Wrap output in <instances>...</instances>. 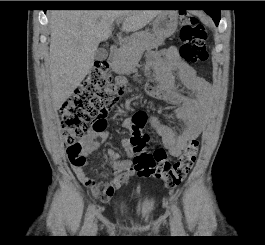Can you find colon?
<instances>
[{"mask_svg":"<svg viewBox=\"0 0 265 245\" xmlns=\"http://www.w3.org/2000/svg\"><path fill=\"white\" fill-rule=\"evenodd\" d=\"M180 19V57L189 63L206 62L208 52L204 24L186 12L180 15ZM108 72V62L97 61L60 107L59 116L66 155L74 166L83 167L86 163L83 137L91 126L98 131L105 128L102 118L116 108L125 92L124 84L110 83ZM146 122L147 115L143 111L135 113L131 118V145L136 153L133 171L144 178H161L168 187L179 185L195 164L199 152L198 140H190L177 160L172 162L164 149L148 150L149 136L142 132ZM107 190H111V187Z\"/></svg>","mask_w":265,"mask_h":245,"instance_id":"1","label":"colon"}]
</instances>
